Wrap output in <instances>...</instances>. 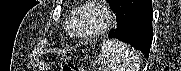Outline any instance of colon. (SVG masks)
<instances>
[{
  "label": "colon",
  "mask_w": 181,
  "mask_h": 71,
  "mask_svg": "<svg viewBox=\"0 0 181 71\" xmlns=\"http://www.w3.org/2000/svg\"><path fill=\"white\" fill-rule=\"evenodd\" d=\"M62 71H84V69L79 68L72 64H67L62 67Z\"/></svg>",
  "instance_id": "colon-1"
}]
</instances>
